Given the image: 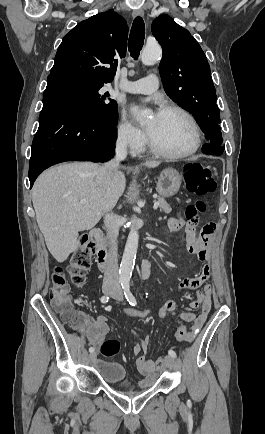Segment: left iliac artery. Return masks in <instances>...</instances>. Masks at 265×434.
<instances>
[{
    "mask_svg": "<svg viewBox=\"0 0 265 434\" xmlns=\"http://www.w3.org/2000/svg\"><path fill=\"white\" fill-rule=\"evenodd\" d=\"M122 288H123V290H124V295H125L127 301L129 302V304H130L131 306H136L137 302H136V299H135L134 295H133L132 292L130 291L129 282H123V283H122ZM168 354H169L170 356H172L173 358H176V357H177L175 351L172 350V349H170V350L168 351Z\"/></svg>",
    "mask_w": 265,
    "mask_h": 434,
    "instance_id": "left-iliac-artery-1",
    "label": "left iliac artery"
}]
</instances>
